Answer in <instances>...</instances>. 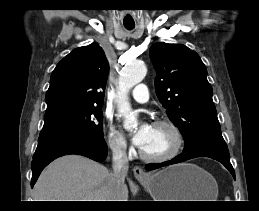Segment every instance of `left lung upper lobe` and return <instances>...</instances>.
<instances>
[{"mask_svg":"<svg viewBox=\"0 0 259 211\" xmlns=\"http://www.w3.org/2000/svg\"><path fill=\"white\" fill-rule=\"evenodd\" d=\"M150 58L157 72V97L184 136L183 152L204 144L227 146L199 55L182 44L156 43Z\"/></svg>","mask_w":259,"mask_h":211,"instance_id":"obj_1","label":"left lung upper lobe"}]
</instances>
